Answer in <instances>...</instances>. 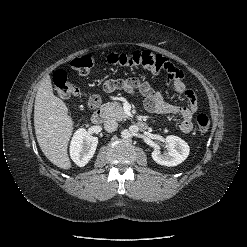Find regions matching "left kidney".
<instances>
[{
    "instance_id": "left-kidney-1",
    "label": "left kidney",
    "mask_w": 247,
    "mask_h": 247,
    "mask_svg": "<svg viewBox=\"0 0 247 247\" xmlns=\"http://www.w3.org/2000/svg\"><path fill=\"white\" fill-rule=\"evenodd\" d=\"M168 152L162 154L159 150L152 152L153 160L167 167L177 166L182 163L189 155L188 144L180 137L169 135L165 138Z\"/></svg>"
}]
</instances>
